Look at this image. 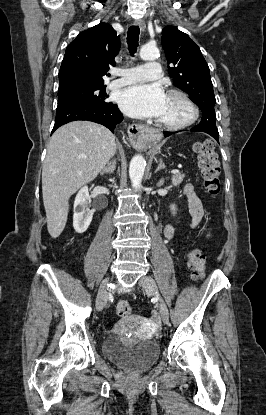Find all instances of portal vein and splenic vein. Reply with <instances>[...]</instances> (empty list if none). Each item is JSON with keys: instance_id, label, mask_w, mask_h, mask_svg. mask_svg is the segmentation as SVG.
Here are the masks:
<instances>
[{"instance_id": "obj_1", "label": "portal vein and splenic vein", "mask_w": 266, "mask_h": 415, "mask_svg": "<svg viewBox=\"0 0 266 415\" xmlns=\"http://www.w3.org/2000/svg\"><path fill=\"white\" fill-rule=\"evenodd\" d=\"M171 173H173V174H178V173H179V170H178V169H173V170L171 171Z\"/></svg>"}]
</instances>
